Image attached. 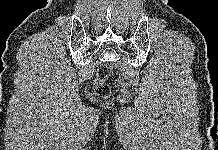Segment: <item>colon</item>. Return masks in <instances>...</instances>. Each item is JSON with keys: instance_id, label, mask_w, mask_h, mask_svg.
<instances>
[{"instance_id": "5ec220e1", "label": "colon", "mask_w": 218, "mask_h": 150, "mask_svg": "<svg viewBox=\"0 0 218 150\" xmlns=\"http://www.w3.org/2000/svg\"><path fill=\"white\" fill-rule=\"evenodd\" d=\"M112 74V69L110 66L103 64L96 72L95 77V92L101 97H108L110 94V87L107 84V80Z\"/></svg>"}]
</instances>
